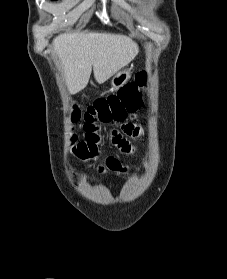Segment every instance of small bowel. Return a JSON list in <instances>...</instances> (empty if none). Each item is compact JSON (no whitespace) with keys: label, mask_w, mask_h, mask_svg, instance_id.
I'll use <instances>...</instances> for the list:
<instances>
[{"label":"small bowel","mask_w":227,"mask_h":279,"mask_svg":"<svg viewBox=\"0 0 227 279\" xmlns=\"http://www.w3.org/2000/svg\"><path fill=\"white\" fill-rule=\"evenodd\" d=\"M123 151L128 150L127 147L122 146ZM109 172H119L121 173V168L119 165V162L110 157L107 158L99 167H98V173L100 174H107Z\"/></svg>","instance_id":"obj_1"}]
</instances>
